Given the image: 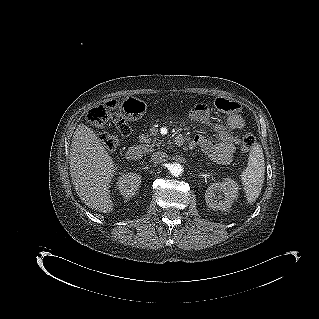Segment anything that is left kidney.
Instances as JSON below:
<instances>
[{
    "instance_id": "5707ae66",
    "label": "left kidney",
    "mask_w": 319,
    "mask_h": 319,
    "mask_svg": "<svg viewBox=\"0 0 319 319\" xmlns=\"http://www.w3.org/2000/svg\"><path fill=\"white\" fill-rule=\"evenodd\" d=\"M239 186L233 179L212 183L205 192V201L213 210L228 211L238 198Z\"/></svg>"
}]
</instances>
